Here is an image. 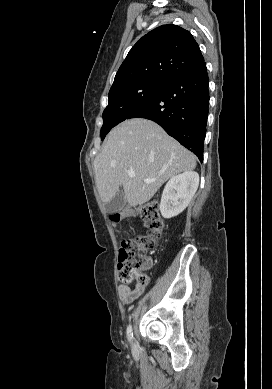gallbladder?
Returning a JSON list of instances; mask_svg holds the SVG:
<instances>
[{"label": "gallbladder", "mask_w": 272, "mask_h": 389, "mask_svg": "<svg viewBox=\"0 0 272 389\" xmlns=\"http://www.w3.org/2000/svg\"><path fill=\"white\" fill-rule=\"evenodd\" d=\"M126 198L122 189L118 190L112 200L106 203V210L109 213H117L123 210L126 205Z\"/></svg>", "instance_id": "obj_1"}]
</instances>
